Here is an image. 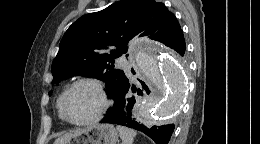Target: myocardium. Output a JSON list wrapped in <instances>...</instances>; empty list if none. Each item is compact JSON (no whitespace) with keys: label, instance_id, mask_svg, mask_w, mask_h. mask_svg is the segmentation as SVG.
<instances>
[{"label":"myocardium","instance_id":"1","mask_svg":"<svg viewBox=\"0 0 260 144\" xmlns=\"http://www.w3.org/2000/svg\"><path fill=\"white\" fill-rule=\"evenodd\" d=\"M80 85H90L96 90V92L98 93L99 98H100V108L92 118L84 120V121L76 122V121L71 120L68 117V115L66 113V102H67V99L70 96V94L73 92V90ZM108 107H109V100H108L107 93H106L105 88L102 85V83L96 79L83 78V79H79V80L75 81L74 83H72L68 87V89L65 91V93L62 97V100H61L60 110H61L63 119L66 122H68L69 124L74 125V126H87V125H90V124H93V123L99 121L102 118L103 114L106 112Z\"/></svg>","mask_w":260,"mask_h":144}]
</instances>
